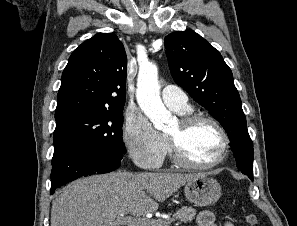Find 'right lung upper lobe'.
<instances>
[{
    "label": "right lung upper lobe",
    "mask_w": 297,
    "mask_h": 226,
    "mask_svg": "<svg viewBox=\"0 0 297 226\" xmlns=\"http://www.w3.org/2000/svg\"><path fill=\"white\" fill-rule=\"evenodd\" d=\"M127 57L112 33H100L71 54L62 74L55 119L80 112L123 111Z\"/></svg>",
    "instance_id": "right-lung-upper-lobe-1"
}]
</instances>
